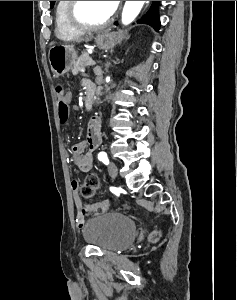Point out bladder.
<instances>
[{
  "instance_id": "bladder-1",
  "label": "bladder",
  "mask_w": 237,
  "mask_h": 300,
  "mask_svg": "<svg viewBox=\"0 0 237 300\" xmlns=\"http://www.w3.org/2000/svg\"><path fill=\"white\" fill-rule=\"evenodd\" d=\"M136 232V224L129 217L109 212L87 220L82 228V237L91 246L115 252L128 247Z\"/></svg>"
}]
</instances>
